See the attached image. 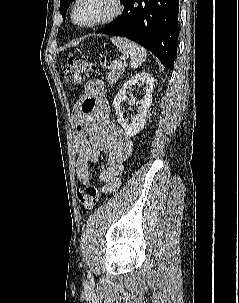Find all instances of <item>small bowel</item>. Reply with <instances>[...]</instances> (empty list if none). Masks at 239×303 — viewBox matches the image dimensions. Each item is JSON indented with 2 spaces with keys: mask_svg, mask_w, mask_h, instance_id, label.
I'll return each mask as SVG.
<instances>
[{
  "mask_svg": "<svg viewBox=\"0 0 239 303\" xmlns=\"http://www.w3.org/2000/svg\"><path fill=\"white\" fill-rule=\"evenodd\" d=\"M104 91V85L98 79H91L85 85L74 111V142L78 155L76 175L85 186L91 184L90 163L97 161L102 152L107 153L106 167L100 174V190L110 194L120 186V175L125 161L132 153L133 143L111 119Z\"/></svg>",
  "mask_w": 239,
  "mask_h": 303,
  "instance_id": "small-bowel-1",
  "label": "small bowel"
}]
</instances>
